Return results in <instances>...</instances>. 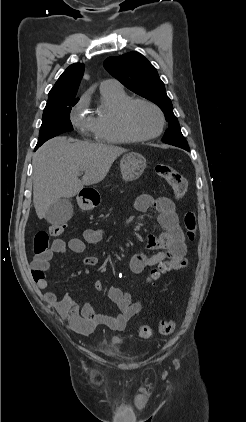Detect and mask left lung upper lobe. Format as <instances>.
Instances as JSON below:
<instances>
[{
  "instance_id": "obj_1",
  "label": "left lung upper lobe",
  "mask_w": 246,
  "mask_h": 422,
  "mask_svg": "<svg viewBox=\"0 0 246 422\" xmlns=\"http://www.w3.org/2000/svg\"><path fill=\"white\" fill-rule=\"evenodd\" d=\"M106 70L134 93L157 104L166 116L169 127L162 141L189 151L186 139L181 133L179 122L173 113V106L166 94L155 67L140 53L129 52L104 61Z\"/></svg>"
}]
</instances>
